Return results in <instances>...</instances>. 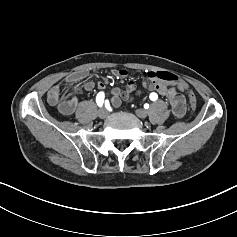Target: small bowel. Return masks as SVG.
<instances>
[{
  "label": "small bowel",
  "mask_w": 237,
  "mask_h": 237,
  "mask_svg": "<svg viewBox=\"0 0 237 237\" xmlns=\"http://www.w3.org/2000/svg\"><path fill=\"white\" fill-rule=\"evenodd\" d=\"M155 73L154 71L148 72L149 83H145V86L151 92H158L160 95L164 96L172 109V112L176 118H182L186 112V100L182 92L185 90L186 83L182 81L179 83H170L166 81H161L153 78L151 75ZM88 75L86 69H79L66 75L61 81L54 83L47 92L48 103L52 106L57 107L58 111L63 115L74 114L80 106L79 99L77 97H72L65 99L61 95L62 86L66 84H74L84 80ZM112 75L115 78H125L127 72L123 69L113 70ZM104 81H93L87 80L84 82V89L86 91H92L96 87L99 89L105 88ZM122 102V91L120 88L115 87L112 90L111 103L113 106L117 107Z\"/></svg>",
  "instance_id": "small-bowel-1"
}]
</instances>
